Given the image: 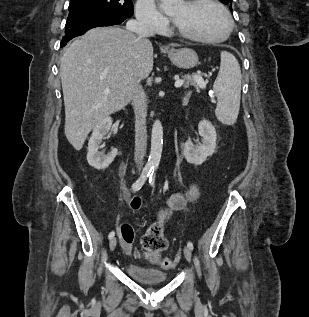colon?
<instances>
[{"mask_svg": "<svg viewBox=\"0 0 309 317\" xmlns=\"http://www.w3.org/2000/svg\"><path fill=\"white\" fill-rule=\"evenodd\" d=\"M129 206L133 211H137L141 207V200L139 197H133ZM118 234L122 243L130 248L135 239V232L131 225L122 224L118 229ZM141 244L145 256L153 262L159 263L161 266L170 267L173 265L172 259L160 258V254L167 248V240L163 235V230L160 224L151 225L147 232L143 235Z\"/></svg>", "mask_w": 309, "mask_h": 317, "instance_id": "colon-1", "label": "colon"}]
</instances>
